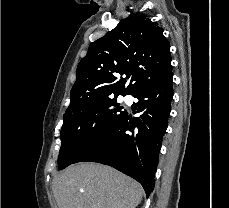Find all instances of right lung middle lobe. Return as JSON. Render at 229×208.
Listing matches in <instances>:
<instances>
[{
  "instance_id": "1",
  "label": "right lung middle lobe",
  "mask_w": 229,
  "mask_h": 208,
  "mask_svg": "<svg viewBox=\"0 0 229 208\" xmlns=\"http://www.w3.org/2000/svg\"><path fill=\"white\" fill-rule=\"evenodd\" d=\"M117 97L102 100L87 109L64 118L61 129L59 169H64L89 146L112 130L125 111L116 103Z\"/></svg>"
}]
</instances>
